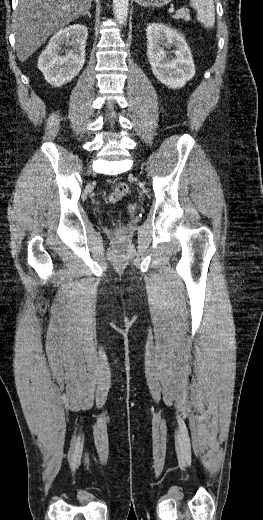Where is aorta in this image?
<instances>
[{
	"instance_id": "1",
	"label": "aorta",
	"mask_w": 263,
	"mask_h": 520,
	"mask_svg": "<svg viewBox=\"0 0 263 520\" xmlns=\"http://www.w3.org/2000/svg\"><path fill=\"white\" fill-rule=\"evenodd\" d=\"M129 0H113V13L116 21L124 25L128 16Z\"/></svg>"
}]
</instances>
